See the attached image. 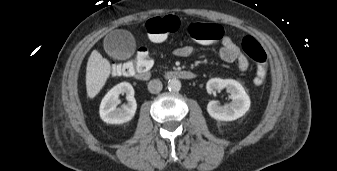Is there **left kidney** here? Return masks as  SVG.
<instances>
[{"label": "left kidney", "mask_w": 337, "mask_h": 171, "mask_svg": "<svg viewBox=\"0 0 337 171\" xmlns=\"http://www.w3.org/2000/svg\"><path fill=\"white\" fill-rule=\"evenodd\" d=\"M206 87L210 94L226 88L232 100L227 106H220L214 100L210 101L207 105V112L212 118L220 121H233L242 117L249 110L250 98L238 81L212 78L207 82Z\"/></svg>", "instance_id": "obj_1"}]
</instances>
